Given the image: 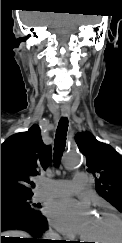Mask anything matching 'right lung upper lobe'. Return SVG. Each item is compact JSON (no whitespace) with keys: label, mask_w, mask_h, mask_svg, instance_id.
Masks as SVG:
<instances>
[{"label":"right lung upper lobe","mask_w":122,"mask_h":243,"mask_svg":"<svg viewBox=\"0 0 122 243\" xmlns=\"http://www.w3.org/2000/svg\"><path fill=\"white\" fill-rule=\"evenodd\" d=\"M51 155L36 124L6 139L1 144V199L33 195L30 179L49 166Z\"/></svg>","instance_id":"cb5924a9"}]
</instances>
